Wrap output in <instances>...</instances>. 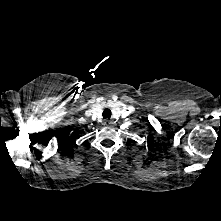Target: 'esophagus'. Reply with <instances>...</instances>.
Segmentation results:
<instances>
[{"label": "esophagus", "instance_id": "esophagus-1", "mask_svg": "<svg viewBox=\"0 0 221 221\" xmlns=\"http://www.w3.org/2000/svg\"><path fill=\"white\" fill-rule=\"evenodd\" d=\"M104 124H105L106 126H111V125L113 124V122H112L111 120H105V121H104Z\"/></svg>", "mask_w": 221, "mask_h": 221}]
</instances>
